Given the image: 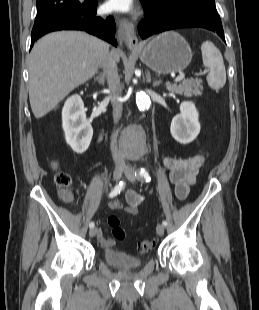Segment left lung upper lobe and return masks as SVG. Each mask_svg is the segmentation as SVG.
<instances>
[{
    "label": "left lung upper lobe",
    "instance_id": "left-lung-upper-lobe-1",
    "mask_svg": "<svg viewBox=\"0 0 259 310\" xmlns=\"http://www.w3.org/2000/svg\"><path fill=\"white\" fill-rule=\"evenodd\" d=\"M158 16H163L176 10L197 5L215 7L214 0H141Z\"/></svg>",
    "mask_w": 259,
    "mask_h": 310
}]
</instances>
